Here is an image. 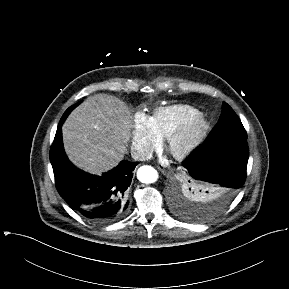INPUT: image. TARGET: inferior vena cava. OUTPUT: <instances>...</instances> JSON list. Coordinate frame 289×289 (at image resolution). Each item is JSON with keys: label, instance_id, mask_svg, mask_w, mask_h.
Instances as JSON below:
<instances>
[{"label": "inferior vena cava", "instance_id": "inferior-vena-cava-1", "mask_svg": "<svg viewBox=\"0 0 289 289\" xmlns=\"http://www.w3.org/2000/svg\"><path fill=\"white\" fill-rule=\"evenodd\" d=\"M131 156L134 160L145 161L151 158V153L143 148L132 147Z\"/></svg>", "mask_w": 289, "mask_h": 289}]
</instances>
